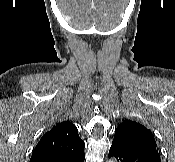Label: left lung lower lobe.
<instances>
[{
  "mask_svg": "<svg viewBox=\"0 0 175 162\" xmlns=\"http://www.w3.org/2000/svg\"><path fill=\"white\" fill-rule=\"evenodd\" d=\"M109 156L117 162H161L157 149L153 146H128L113 140Z\"/></svg>",
  "mask_w": 175,
  "mask_h": 162,
  "instance_id": "0a47b994",
  "label": "left lung lower lobe"
}]
</instances>
